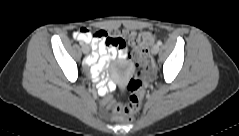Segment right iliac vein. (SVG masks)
<instances>
[{"mask_svg": "<svg viewBox=\"0 0 239 136\" xmlns=\"http://www.w3.org/2000/svg\"><path fill=\"white\" fill-rule=\"evenodd\" d=\"M82 51H83L84 54H88L89 51H90L89 46H88V45H85L84 47H82Z\"/></svg>", "mask_w": 239, "mask_h": 136, "instance_id": "63e3f726", "label": "right iliac vein"}]
</instances>
